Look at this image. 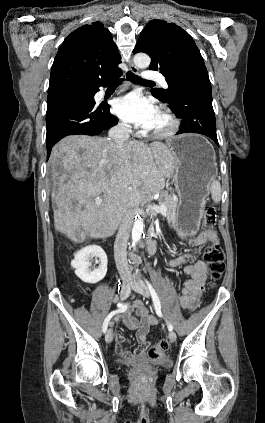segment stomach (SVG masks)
Segmentation results:
<instances>
[{
	"mask_svg": "<svg viewBox=\"0 0 265 423\" xmlns=\"http://www.w3.org/2000/svg\"><path fill=\"white\" fill-rule=\"evenodd\" d=\"M173 158L175 185L179 197L175 226L181 236L197 233L216 170L211 143L198 134H183L167 140Z\"/></svg>",
	"mask_w": 265,
	"mask_h": 423,
	"instance_id": "1",
	"label": "stomach"
}]
</instances>
